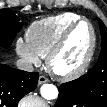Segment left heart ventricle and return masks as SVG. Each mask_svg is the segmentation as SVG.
I'll return each mask as SVG.
<instances>
[{
  "mask_svg": "<svg viewBox=\"0 0 107 107\" xmlns=\"http://www.w3.org/2000/svg\"><path fill=\"white\" fill-rule=\"evenodd\" d=\"M91 32L87 24H80L71 34L64 50L54 61L58 72H68L76 68L83 60L89 48Z\"/></svg>",
  "mask_w": 107,
  "mask_h": 107,
  "instance_id": "obj_1",
  "label": "left heart ventricle"
}]
</instances>
